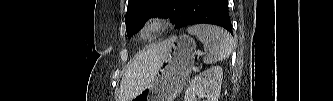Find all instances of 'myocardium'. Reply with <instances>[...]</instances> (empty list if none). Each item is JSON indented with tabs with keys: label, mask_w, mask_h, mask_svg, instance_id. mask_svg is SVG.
Masks as SVG:
<instances>
[{
	"label": "myocardium",
	"mask_w": 333,
	"mask_h": 101,
	"mask_svg": "<svg viewBox=\"0 0 333 101\" xmlns=\"http://www.w3.org/2000/svg\"><path fill=\"white\" fill-rule=\"evenodd\" d=\"M168 25L165 17L156 15L149 17L140 28V35L143 38L150 39L162 33Z\"/></svg>",
	"instance_id": "obj_1"
}]
</instances>
